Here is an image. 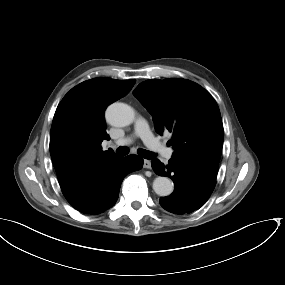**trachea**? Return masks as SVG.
<instances>
[{"label":"trachea","mask_w":285,"mask_h":285,"mask_svg":"<svg viewBox=\"0 0 285 285\" xmlns=\"http://www.w3.org/2000/svg\"><path fill=\"white\" fill-rule=\"evenodd\" d=\"M116 153L119 156H125L129 153V149L127 147H118L116 150ZM138 154L145 159H150L154 155L153 152H150V151L145 150V149H139Z\"/></svg>","instance_id":"3493384b"}]
</instances>
